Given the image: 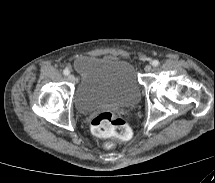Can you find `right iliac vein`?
I'll use <instances>...</instances> for the list:
<instances>
[{
    "instance_id": "right-iliac-vein-1",
    "label": "right iliac vein",
    "mask_w": 215,
    "mask_h": 183,
    "mask_svg": "<svg viewBox=\"0 0 215 183\" xmlns=\"http://www.w3.org/2000/svg\"><path fill=\"white\" fill-rule=\"evenodd\" d=\"M68 80L70 81V82H74L75 81V77H74V75L73 74H70L69 76H68Z\"/></svg>"
}]
</instances>
